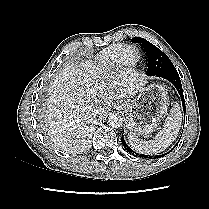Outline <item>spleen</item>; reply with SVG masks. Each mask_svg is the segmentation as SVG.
Listing matches in <instances>:
<instances>
[{
    "label": "spleen",
    "mask_w": 209,
    "mask_h": 209,
    "mask_svg": "<svg viewBox=\"0 0 209 209\" xmlns=\"http://www.w3.org/2000/svg\"><path fill=\"white\" fill-rule=\"evenodd\" d=\"M181 109L175 104L165 120L164 127L152 141H142L132 135L128 136L130 146L142 154H154L164 151L176 139L181 127Z\"/></svg>",
    "instance_id": "3e777b00"
}]
</instances>
